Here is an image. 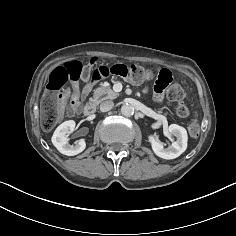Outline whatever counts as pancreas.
Masks as SVG:
<instances>
[{
	"mask_svg": "<svg viewBox=\"0 0 236 236\" xmlns=\"http://www.w3.org/2000/svg\"><path fill=\"white\" fill-rule=\"evenodd\" d=\"M119 96V93L114 92L110 87L108 86H101L98 87L94 90L93 92V98H92V102L95 105L100 104L103 100H107V99H115ZM158 113H162V109H159L157 111Z\"/></svg>",
	"mask_w": 236,
	"mask_h": 236,
	"instance_id": "1",
	"label": "pancreas"
}]
</instances>
